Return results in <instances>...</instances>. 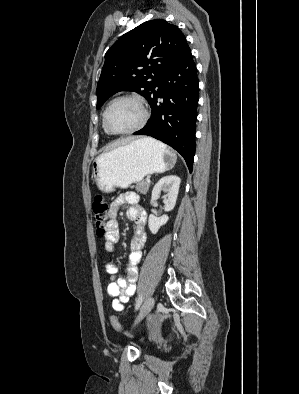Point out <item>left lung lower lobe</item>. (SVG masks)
I'll list each match as a JSON object with an SVG mask.
<instances>
[{
	"label": "left lung lower lobe",
	"instance_id": "obj_1",
	"mask_svg": "<svg viewBox=\"0 0 299 394\" xmlns=\"http://www.w3.org/2000/svg\"><path fill=\"white\" fill-rule=\"evenodd\" d=\"M149 104L151 118L144 128L134 134L148 135L170 145L184 157L192 172L198 78L188 45L160 76Z\"/></svg>",
	"mask_w": 299,
	"mask_h": 394
}]
</instances>
